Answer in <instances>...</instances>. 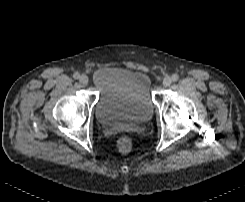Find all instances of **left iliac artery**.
Instances as JSON below:
<instances>
[{"mask_svg":"<svg viewBox=\"0 0 245 202\" xmlns=\"http://www.w3.org/2000/svg\"><path fill=\"white\" fill-rule=\"evenodd\" d=\"M178 79H179V76H178L177 74H173V75H172V80H173L174 82L178 81Z\"/></svg>","mask_w":245,"mask_h":202,"instance_id":"left-iliac-artery-1","label":"left iliac artery"}]
</instances>
